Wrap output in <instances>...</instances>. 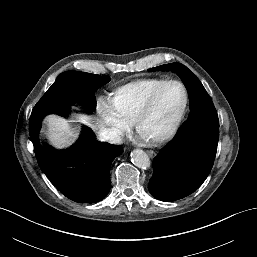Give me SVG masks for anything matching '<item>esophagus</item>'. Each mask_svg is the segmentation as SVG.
<instances>
[{
    "mask_svg": "<svg viewBox=\"0 0 257 257\" xmlns=\"http://www.w3.org/2000/svg\"><path fill=\"white\" fill-rule=\"evenodd\" d=\"M146 152L149 155V157H151V158H153L156 155L155 152L152 150H147Z\"/></svg>",
    "mask_w": 257,
    "mask_h": 257,
    "instance_id": "34e87169",
    "label": "esophagus"
}]
</instances>
